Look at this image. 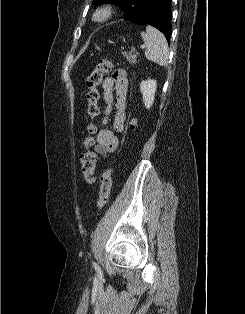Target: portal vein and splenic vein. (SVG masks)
<instances>
[{"instance_id": "1", "label": "portal vein and splenic vein", "mask_w": 245, "mask_h": 314, "mask_svg": "<svg viewBox=\"0 0 245 314\" xmlns=\"http://www.w3.org/2000/svg\"><path fill=\"white\" fill-rule=\"evenodd\" d=\"M140 47H141V49H145L146 48V46L144 44L141 45Z\"/></svg>"}]
</instances>
